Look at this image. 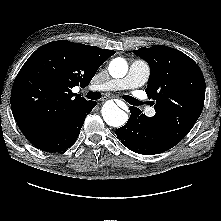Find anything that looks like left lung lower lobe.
Listing matches in <instances>:
<instances>
[{
	"mask_svg": "<svg viewBox=\"0 0 221 221\" xmlns=\"http://www.w3.org/2000/svg\"><path fill=\"white\" fill-rule=\"evenodd\" d=\"M130 113L126 125L115 131L119 140L128 149L143 155H153L176 145L167 140L157 124L142 114L140 109L131 106Z\"/></svg>",
	"mask_w": 221,
	"mask_h": 221,
	"instance_id": "0a47b994",
	"label": "left lung lower lobe"
}]
</instances>
